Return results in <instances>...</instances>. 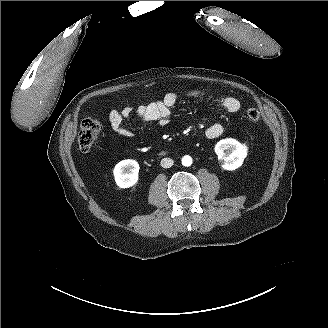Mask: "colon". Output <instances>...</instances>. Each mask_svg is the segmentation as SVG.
Segmentation results:
<instances>
[{"mask_svg": "<svg viewBox=\"0 0 328 328\" xmlns=\"http://www.w3.org/2000/svg\"><path fill=\"white\" fill-rule=\"evenodd\" d=\"M247 117L251 121H259L261 118L260 112L256 108L247 110ZM100 131V124L95 119H84L81 122L78 134V146L82 152H88L93 146Z\"/></svg>", "mask_w": 328, "mask_h": 328, "instance_id": "obj_1", "label": "colon"}]
</instances>
